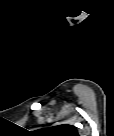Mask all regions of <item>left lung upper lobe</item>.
<instances>
[{
  "mask_svg": "<svg viewBox=\"0 0 114 136\" xmlns=\"http://www.w3.org/2000/svg\"><path fill=\"white\" fill-rule=\"evenodd\" d=\"M40 133L42 136H78L77 128L68 124L45 128Z\"/></svg>",
  "mask_w": 114,
  "mask_h": 136,
  "instance_id": "left-lung-upper-lobe-1",
  "label": "left lung upper lobe"
}]
</instances>
